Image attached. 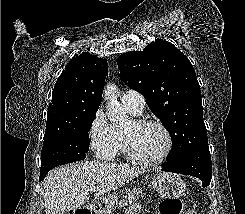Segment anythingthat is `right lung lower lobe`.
<instances>
[{
	"label": "right lung lower lobe",
	"mask_w": 245,
	"mask_h": 214,
	"mask_svg": "<svg viewBox=\"0 0 245 214\" xmlns=\"http://www.w3.org/2000/svg\"><path fill=\"white\" fill-rule=\"evenodd\" d=\"M46 175H42L40 176V181L43 180L45 178Z\"/></svg>",
	"instance_id": "obj_1"
}]
</instances>
